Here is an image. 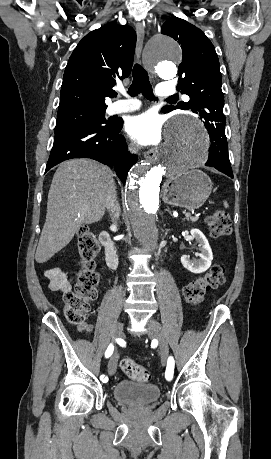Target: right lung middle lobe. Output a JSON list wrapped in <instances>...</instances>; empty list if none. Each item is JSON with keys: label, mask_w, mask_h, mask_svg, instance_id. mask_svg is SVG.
I'll list each match as a JSON object with an SVG mask.
<instances>
[{"label": "right lung middle lobe", "mask_w": 271, "mask_h": 459, "mask_svg": "<svg viewBox=\"0 0 271 459\" xmlns=\"http://www.w3.org/2000/svg\"><path fill=\"white\" fill-rule=\"evenodd\" d=\"M107 106L87 105L70 110L58 111L55 134L79 126L107 127L117 120L105 118Z\"/></svg>", "instance_id": "dd1d6c3e"}]
</instances>
